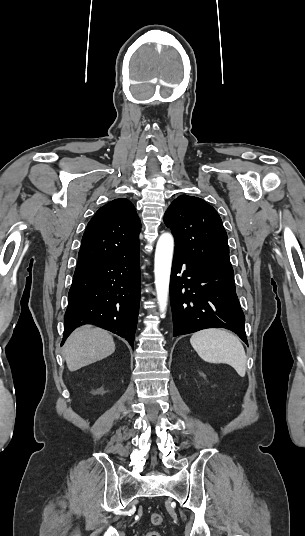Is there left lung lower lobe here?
<instances>
[{
    "label": "left lung lower lobe",
    "mask_w": 305,
    "mask_h": 536,
    "mask_svg": "<svg viewBox=\"0 0 305 536\" xmlns=\"http://www.w3.org/2000/svg\"><path fill=\"white\" fill-rule=\"evenodd\" d=\"M170 301L174 337L222 327L235 332L248 344L233 269L198 262L174 252Z\"/></svg>",
    "instance_id": "1"
}]
</instances>
